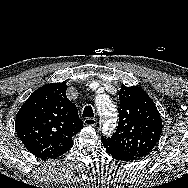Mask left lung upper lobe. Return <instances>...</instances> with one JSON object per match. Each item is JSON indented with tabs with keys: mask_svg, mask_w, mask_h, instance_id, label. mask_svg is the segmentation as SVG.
I'll use <instances>...</instances> for the list:
<instances>
[{
	"mask_svg": "<svg viewBox=\"0 0 188 188\" xmlns=\"http://www.w3.org/2000/svg\"><path fill=\"white\" fill-rule=\"evenodd\" d=\"M119 124L112 144L141 159L156 146L162 133V120L153 100L137 86L121 85Z\"/></svg>",
	"mask_w": 188,
	"mask_h": 188,
	"instance_id": "5c2ea615",
	"label": "left lung upper lobe"
}]
</instances>
